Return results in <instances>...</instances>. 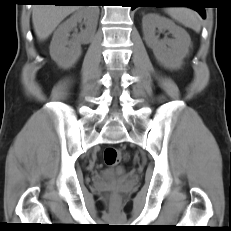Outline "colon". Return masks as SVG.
<instances>
[{
	"mask_svg": "<svg viewBox=\"0 0 231 231\" xmlns=\"http://www.w3.org/2000/svg\"><path fill=\"white\" fill-rule=\"evenodd\" d=\"M124 155L121 150L115 147H107L104 150V161L108 166L119 165Z\"/></svg>",
	"mask_w": 231,
	"mask_h": 231,
	"instance_id": "colon-1",
	"label": "colon"
}]
</instances>
